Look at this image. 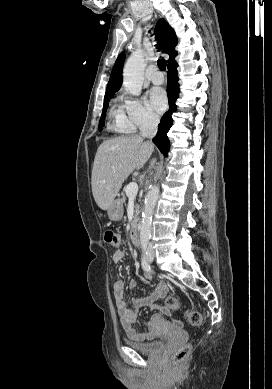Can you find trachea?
I'll use <instances>...</instances> for the list:
<instances>
[{"label": "trachea", "instance_id": "1", "mask_svg": "<svg viewBox=\"0 0 272 389\" xmlns=\"http://www.w3.org/2000/svg\"><path fill=\"white\" fill-rule=\"evenodd\" d=\"M159 51V50H158ZM157 63H158V66H159V68L162 70V71H165V69H166V61L164 60V59H158V61H157Z\"/></svg>", "mask_w": 272, "mask_h": 389}]
</instances>
